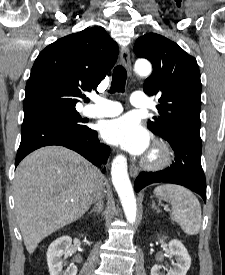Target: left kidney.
Listing matches in <instances>:
<instances>
[{
    "mask_svg": "<svg viewBox=\"0 0 225 275\" xmlns=\"http://www.w3.org/2000/svg\"><path fill=\"white\" fill-rule=\"evenodd\" d=\"M169 251L170 255L175 257L176 263L166 275H186L191 265V258L185 246L179 240H171ZM160 269V265H154L151 269V275H165Z\"/></svg>",
    "mask_w": 225,
    "mask_h": 275,
    "instance_id": "obj_1",
    "label": "left kidney"
}]
</instances>
